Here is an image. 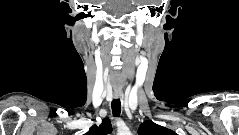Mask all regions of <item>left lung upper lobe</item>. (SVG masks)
I'll use <instances>...</instances> for the list:
<instances>
[{
    "mask_svg": "<svg viewBox=\"0 0 239 135\" xmlns=\"http://www.w3.org/2000/svg\"><path fill=\"white\" fill-rule=\"evenodd\" d=\"M139 135H177L174 131L155 124L152 121H145L139 126Z\"/></svg>",
    "mask_w": 239,
    "mask_h": 135,
    "instance_id": "1",
    "label": "left lung upper lobe"
}]
</instances>
